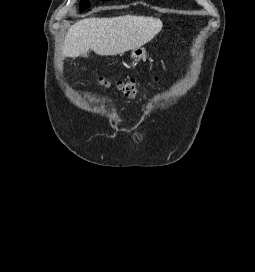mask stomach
<instances>
[{
	"label": "stomach",
	"instance_id": "1",
	"mask_svg": "<svg viewBox=\"0 0 255 272\" xmlns=\"http://www.w3.org/2000/svg\"><path fill=\"white\" fill-rule=\"evenodd\" d=\"M130 56L135 61H140V60L145 61L147 58V52L145 48L139 47V48L133 49Z\"/></svg>",
	"mask_w": 255,
	"mask_h": 272
}]
</instances>
